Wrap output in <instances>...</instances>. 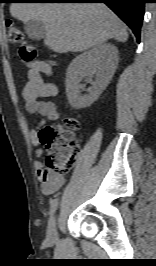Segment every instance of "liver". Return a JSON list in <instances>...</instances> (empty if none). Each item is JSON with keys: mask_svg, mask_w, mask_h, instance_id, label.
I'll list each match as a JSON object with an SVG mask.
<instances>
[{"mask_svg": "<svg viewBox=\"0 0 156 266\" xmlns=\"http://www.w3.org/2000/svg\"><path fill=\"white\" fill-rule=\"evenodd\" d=\"M12 17L41 21L44 43L57 53L81 52L114 38L126 42L125 24L103 3H12Z\"/></svg>", "mask_w": 156, "mask_h": 266, "instance_id": "liver-1", "label": "liver"}]
</instances>
